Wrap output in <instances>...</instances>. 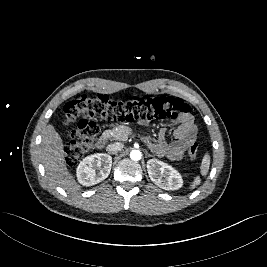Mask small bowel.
I'll list each match as a JSON object with an SVG mask.
<instances>
[{
	"mask_svg": "<svg viewBox=\"0 0 267 267\" xmlns=\"http://www.w3.org/2000/svg\"><path fill=\"white\" fill-rule=\"evenodd\" d=\"M174 137L173 141H167L165 130H162L157 141L148 138L146 143L149 149L158 156H167L171 159L180 158L197 137V126L191 114L179 117Z\"/></svg>",
	"mask_w": 267,
	"mask_h": 267,
	"instance_id": "c3829d8e",
	"label": "small bowel"
}]
</instances>
